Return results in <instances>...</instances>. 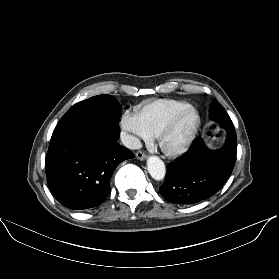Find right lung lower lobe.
<instances>
[{
	"label": "right lung lower lobe",
	"instance_id": "1",
	"mask_svg": "<svg viewBox=\"0 0 279 279\" xmlns=\"http://www.w3.org/2000/svg\"><path fill=\"white\" fill-rule=\"evenodd\" d=\"M119 120L104 118L51 137L46 175L53 196L65 207L100 205L116 167L134 154L119 145Z\"/></svg>",
	"mask_w": 279,
	"mask_h": 279
}]
</instances>
